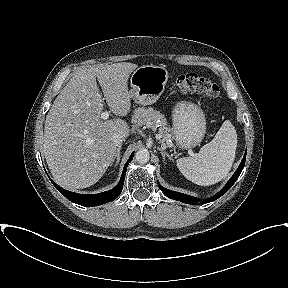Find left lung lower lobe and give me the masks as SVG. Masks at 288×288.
<instances>
[{
	"mask_svg": "<svg viewBox=\"0 0 288 288\" xmlns=\"http://www.w3.org/2000/svg\"><path fill=\"white\" fill-rule=\"evenodd\" d=\"M245 160H246V152H245V155H244V157H243L238 169L233 174V176L230 178V180L225 185V187L219 193H217L215 196L207 199L205 201V203H209V202H212V201L218 199L219 197H221L223 194H225L232 187V185L236 182V180L238 179L240 173L242 172V170L244 168ZM159 187H160L161 191L167 197H169V198H171L173 200L181 201V202L186 203V204H194L195 202L198 201V199L195 198V197H192V196H189V195H186V194H183V193H179V192H174V191L168 190V189H166V188H164V187H162L160 185H159Z\"/></svg>",
	"mask_w": 288,
	"mask_h": 288,
	"instance_id": "0a47b994",
	"label": "left lung lower lobe"
}]
</instances>
